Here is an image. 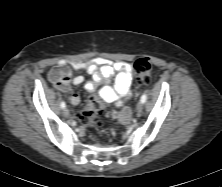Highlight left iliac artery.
<instances>
[{
	"instance_id": "44dca946",
	"label": "left iliac artery",
	"mask_w": 222,
	"mask_h": 187,
	"mask_svg": "<svg viewBox=\"0 0 222 187\" xmlns=\"http://www.w3.org/2000/svg\"><path fill=\"white\" fill-rule=\"evenodd\" d=\"M146 100H147V95H146V94H143V95L141 96V102H142V103H145Z\"/></svg>"
}]
</instances>
